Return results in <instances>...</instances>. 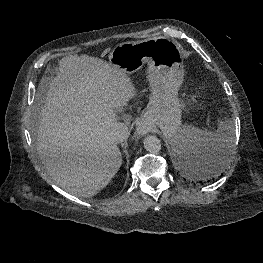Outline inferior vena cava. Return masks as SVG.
Listing matches in <instances>:
<instances>
[{
  "mask_svg": "<svg viewBox=\"0 0 263 263\" xmlns=\"http://www.w3.org/2000/svg\"><path fill=\"white\" fill-rule=\"evenodd\" d=\"M128 136V128L124 123L116 122L111 131V139L116 143L123 142Z\"/></svg>",
  "mask_w": 263,
  "mask_h": 263,
  "instance_id": "obj_1",
  "label": "inferior vena cava"
}]
</instances>
